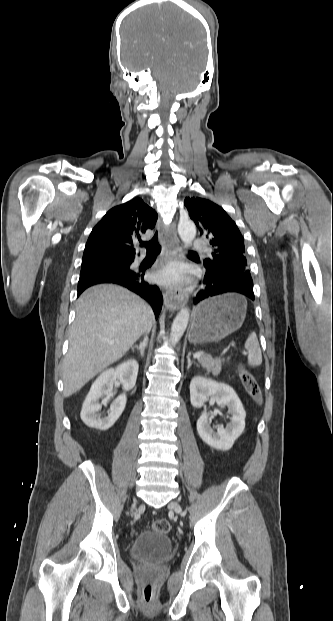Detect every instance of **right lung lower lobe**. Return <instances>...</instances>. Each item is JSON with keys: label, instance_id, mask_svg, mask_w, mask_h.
I'll list each match as a JSON object with an SVG mask.
<instances>
[{"label": "right lung lower lobe", "instance_id": "obj_1", "mask_svg": "<svg viewBox=\"0 0 333 621\" xmlns=\"http://www.w3.org/2000/svg\"><path fill=\"white\" fill-rule=\"evenodd\" d=\"M127 262L116 264L112 262H99L84 265L81 268L78 281V296L88 287L100 283H115L128 288L147 300L153 308L156 318L158 317L163 297L156 285H150L144 280V268L140 272L130 268L134 258H124Z\"/></svg>", "mask_w": 333, "mask_h": 621}]
</instances>
